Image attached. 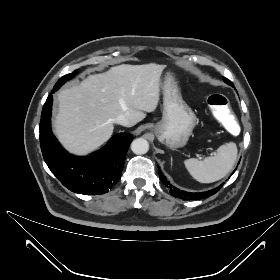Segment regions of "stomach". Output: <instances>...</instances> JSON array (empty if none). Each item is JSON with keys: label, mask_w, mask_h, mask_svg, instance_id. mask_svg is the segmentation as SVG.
<instances>
[{"label": "stomach", "mask_w": 280, "mask_h": 280, "mask_svg": "<svg viewBox=\"0 0 280 280\" xmlns=\"http://www.w3.org/2000/svg\"><path fill=\"white\" fill-rule=\"evenodd\" d=\"M163 95V116L153 131L167 147H184L197 123V117L183 100L175 75L170 71L163 82Z\"/></svg>", "instance_id": "1"}]
</instances>
